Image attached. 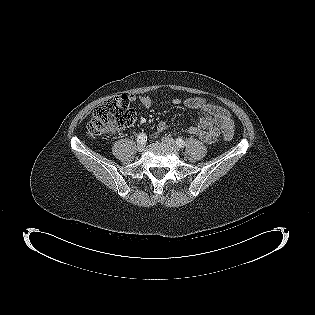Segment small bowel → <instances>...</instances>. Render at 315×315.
<instances>
[{
	"label": "small bowel",
	"mask_w": 315,
	"mask_h": 315,
	"mask_svg": "<svg viewBox=\"0 0 315 315\" xmlns=\"http://www.w3.org/2000/svg\"><path fill=\"white\" fill-rule=\"evenodd\" d=\"M130 101H134L135 97H129ZM139 103L144 108L152 106V100L149 96L142 95L139 97ZM173 105L183 104L189 109L198 110L202 116L196 125L188 126L185 132L189 135L196 136L206 143H213L221 134V132H230L233 134L234 122L228 110L212 102L204 97H189L185 100L180 98L172 99ZM167 129V123L161 121L158 124V130Z\"/></svg>",
	"instance_id": "obj_1"
}]
</instances>
